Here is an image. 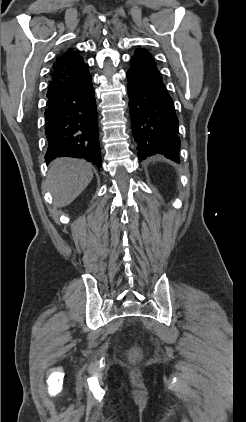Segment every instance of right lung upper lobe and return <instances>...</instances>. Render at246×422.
<instances>
[{"instance_id": "obj_1", "label": "right lung upper lobe", "mask_w": 246, "mask_h": 422, "mask_svg": "<svg viewBox=\"0 0 246 422\" xmlns=\"http://www.w3.org/2000/svg\"><path fill=\"white\" fill-rule=\"evenodd\" d=\"M51 75L52 78L47 95L57 92L88 76V64L79 56L78 51L68 49L65 54H62L53 63Z\"/></svg>"}]
</instances>
